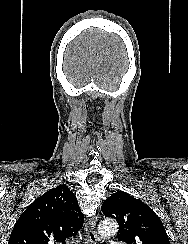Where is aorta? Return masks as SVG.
I'll use <instances>...</instances> for the list:
<instances>
[{"instance_id": "obj_1", "label": "aorta", "mask_w": 188, "mask_h": 244, "mask_svg": "<svg viewBox=\"0 0 188 244\" xmlns=\"http://www.w3.org/2000/svg\"><path fill=\"white\" fill-rule=\"evenodd\" d=\"M118 231V226L115 220L107 218L100 222L98 226V233L102 238L115 235Z\"/></svg>"}]
</instances>
